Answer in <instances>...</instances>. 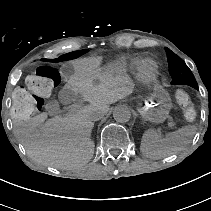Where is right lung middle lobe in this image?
<instances>
[{
	"instance_id": "right-lung-middle-lobe-1",
	"label": "right lung middle lobe",
	"mask_w": 211,
	"mask_h": 211,
	"mask_svg": "<svg viewBox=\"0 0 211 211\" xmlns=\"http://www.w3.org/2000/svg\"><path fill=\"white\" fill-rule=\"evenodd\" d=\"M86 52H88V50H78V51L70 52V53H67V54L60 56L57 59H54L53 61L54 62H60V61L74 59V58L81 56L82 54H84Z\"/></svg>"
}]
</instances>
